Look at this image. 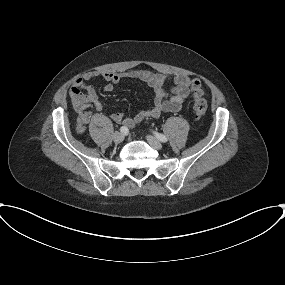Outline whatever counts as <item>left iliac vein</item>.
<instances>
[{
	"label": "left iliac vein",
	"instance_id": "obj_1",
	"mask_svg": "<svg viewBox=\"0 0 285 285\" xmlns=\"http://www.w3.org/2000/svg\"><path fill=\"white\" fill-rule=\"evenodd\" d=\"M147 141L153 148L157 150L162 149V143L159 140H157L155 137L149 135L147 136Z\"/></svg>",
	"mask_w": 285,
	"mask_h": 285
}]
</instances>
